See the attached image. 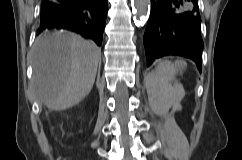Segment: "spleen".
<instances>
[{"label":"spleen","instance_id":"obj_1","mask_svg":"<svg viewBox=\"0 0 242 160\" xmlns=\"http://www.w3.org/2000/svg\"><path fill=\"white\" fill-rule=\"evenodd\" d=\"M186 63L182 60L175 61H162L158 64L155 70L151 73L148 79V86L150 89L156 91L160 107H171L176 101L175 90L178 87L174 86L175 75L179 69H183Z\"/></svg>","mask_w":242,"mask_h":160}]
</instances>
